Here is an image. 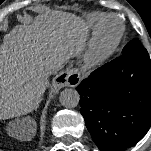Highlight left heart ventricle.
I'll return each instance as SVG.
<instances>
[{
    "label": "left heart ventricle",
    "instance_id": "left-heart-ventricle-1",
    "mask_svg": "<svg viewBox=\"0 0 151 151\" xmlns=\"http://www.w3.org/2000/svg\"><path fill=\"white\" fill-rule=\"evenodd\" d=\"M119 25L115 20H110L106 25V35L108 38L114 36L118 31Z\"/></svg>",
    "mask_w": 151,
    "mask_h": 151
}]
</instances>
